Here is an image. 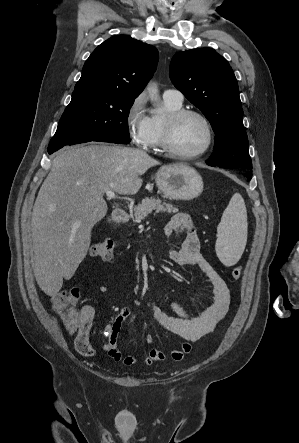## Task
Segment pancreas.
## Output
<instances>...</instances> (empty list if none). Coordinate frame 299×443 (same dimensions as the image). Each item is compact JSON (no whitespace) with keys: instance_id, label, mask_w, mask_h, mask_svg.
<instances>
[{"instance_id":"pancreas-1","label":"pancreas","mask_w":299,"mask_h":443,"mask_svg":"<svg viewBox=\"0 0 299 443\" xmlns=\"http://www.w3.org/2000/svg\"><path fill=\"white\" fill-rule=\"evenodd\" d=\"M152 211H155L156 213L167 212L170 214L178 212L179 209L170 203L162 202L159 198H146L142 200L140 204L134 206V222H141L148 216V214L152 213Z\"/></svg>"}]
</instances>
